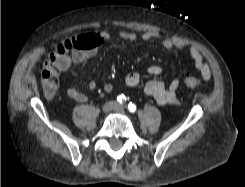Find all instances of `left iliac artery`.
I'll list each match as a JSON object with an SVG mask.
<instances>
[{
	"label": "left iliac artery",
	"instance_id": "44dca946",
	"mask_svg": "<svg viewBox=\"0 0 245 187\" xmlns=\"http://www.w3.org/2000/svg\"><path fill=\"white\" fill-rule=\"evenodd\" d=\"M128 110H129L130 112H135V111H136V106H135V104H133L132 102H130V103L128 104Z\"/></svg>",
	"mask_w": 245,
	"mask_h": 187
}]
</instances>
